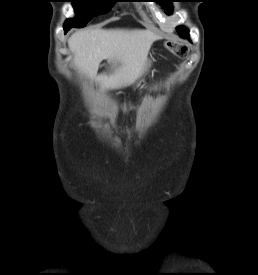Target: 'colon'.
I'll return each instance as SVG.
<instances>
[{"label":"colon","instance_id":"colon-1","mask_svg":"<svg viewBox=\"0 0 258 275\" xmlns=\"http://www.w3.org/2000/svg\"><path fill=\"white\" fill-rule=\"evenodd\" d=\"M165 47L176 57H184L189 51L186 44L178 41H167Z\"/></svg>","mask_w":258,"mask_h":275}]
</instances>
